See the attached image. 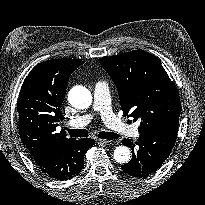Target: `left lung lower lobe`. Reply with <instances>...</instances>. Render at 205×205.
I'll return each mask as SVG.
<instances>
[{
	"label": "left lung lower lobe",
	"instance_id": "left-lung-lower-lobe-1",
	"mask_svg": "<svg viewBox=\"0 0 205 205\" xmlns=\"http://www.w3.org/2000/svg\"><path fill=\"white\" fill-rule=\"evenodd\" d=\"M178 133V126H164L140 132L134 144L131 139L122 143L132 149V159L121 169L133 177H146L158 170L169 156Z\"/></svg>",
	"mask_w": 205,
	"mask_h": 205
}]
</instances>
